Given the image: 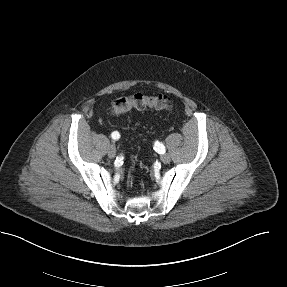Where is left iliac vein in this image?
I'll return each mask as SVG.
<instances>
[{"mask_svg":"<svg viewBox=\"0 0 287 287\" xmlns=\"http://www.w3.org/2000/svg\"><path fill=\"white\" fill-rule=\"evenodd\" d=\"M161 161L163 163H169L171 161V157L169 154H163L161 155Z\"/></svg>","mask_w":287,"mask_h":287,"instance_id":"4c4485c4","label":"left iliac vein"}]
</instances>
